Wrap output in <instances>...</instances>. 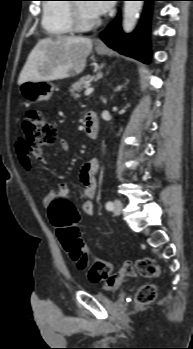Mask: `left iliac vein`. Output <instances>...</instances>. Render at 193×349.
I'll list each match as a JSON object with an SVG mask.
<instances>
[{
  "mask_svg": "<svg viewBox=\"0 0 193 349\" xmlns=\"http://www.w3.org/2000/svg\"><path fill=\"white\" fill-rule=\"evenodd\" d=\"M121 211H122V202L119 199H116L114 201L113 212L115 215H119Z\"/></svg>",
  "mask_w": 193,
  "mask_h": 349,
  "instance_id": "1",
  "label": "left iliac vein"
}]
</instances>
